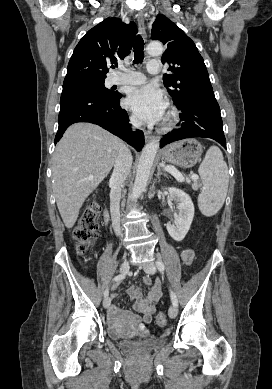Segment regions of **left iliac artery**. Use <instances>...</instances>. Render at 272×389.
Masks as SVG:
<instances>
[{
  "label": "left iliac artery",
  "mask_w": 272,
  "mask_h": 389,
  "mask_svg": "<svg viewBox=\"0 0 272 389\" xmlns=\"http://www.w3.org/2000/svg\"><path fill=\"white\" fill-rule=\"evenodd\" d=\"M156 266H157V268H158V270L160 272H163L165 270V266H164V264H163V262L161 260H157ZM170 296H171L172 304L174 306H177L178 305V300H177V297H176L175 293L172 290H170Z\"/></svg>",
  "instance_id": "left-iliac-artery-1"
}]
</instances>
